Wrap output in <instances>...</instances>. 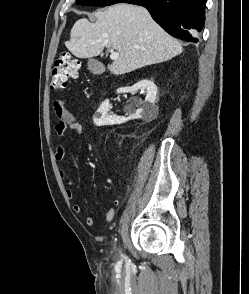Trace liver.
Listing matches in <instances>:
<instances>
[{
    "label": "liver",
    "instance_id": "1",
    "mask_svg": "<svg viewBox=\"0 0 249 294\" xmlns=\"http://www.w3.org/2000/svg\"><path fill=\"white\" fill-rule=\"evenodd\" d=\"M94 17L95 23L86 18L76 21L65 45L81 59L98 56L104 47L116 49L119 58L108 64L114 75L167 61L183 51L144 7L121 3L95 12Z\"/></svg>",
    "mask_w": 249,
    "mask_h": 294
}]
</instances>
